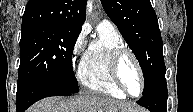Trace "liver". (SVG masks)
<instances>
[{
  "instance_id": "liver-1",
  "label": "liver",
  "mask_w": 193,
  "mask_h": 112,
  "mask_svg": "<svg viewBox=\"0 0 193 112\" xmlns=\"http://www.w3.org/2000/svg\"><path fill=\"white\" fill-rule=\"evenodd\" d=\"M136 105L99 96L61 99L50 97L42 99L28 109L27 112H139Z\"/></svg>"
}]
</instances>
